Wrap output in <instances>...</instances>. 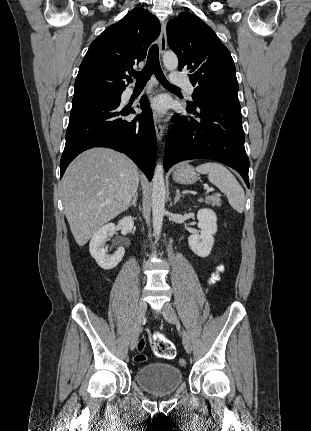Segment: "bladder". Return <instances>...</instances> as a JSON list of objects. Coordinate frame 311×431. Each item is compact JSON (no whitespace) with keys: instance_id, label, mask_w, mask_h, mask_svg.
Listing matches in <instances>:
<instances>
[{"instance_id":"bladder-1","label":"bladder","mask_w":311,"mask_h":431,"mask_svg":"<svg viewBox=\"0 0 311 431\" xmlns=\"http://www.w3.org/2000/svg\"><path fill=\"white\" fill-rule=\"evenodd\" d=\"M135 379L147 392L165 395L179 388L183 382V372L169 363H150L136 370Z\"/></svg>"}]
</instances>
